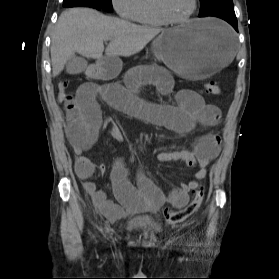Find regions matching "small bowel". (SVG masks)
<instances>
[{
  "instance_id": "c3829d8e",
  "label": "small bowel",
  "mask_w": 279,
  "mask_h": 279,
  "mask_svg": "<svg viewBox=\"0 0 279 279\" xmlns=\"http://www.w3.org/2000/svg\"><path fill=\"white\" fill-rule=\"evenodd\" d=\"M146 83L154 84L162 95L173 94L177 105L153 104L139 98L136 91ZM100 102L132 117L181 134L189 133L198 124L217 126L221 117L219 109L206 103L194 90L174 91L171 76L158 67L131 68L126 72L122 84H83L64 101L65 134L78 155L75 173L100 212L109 219L117 220L125 211H157L166 201L175 208L184 207L188 202L189 192L199 186V180L207 176L209 163L218 156L220 137L217 134H205L194 142L190 150H166L158 154L160 161H181L196 168L195 178L172 189L167 197L142 172L138 174L136 184L130 182L123 162L117 160L111 172L118 201L115 203L92 180L95 173L102 174L105 168L83 155L97 144L103 127ZM109 133L115 139L120 138L119 129L115 125H111Z\"/></svg>"
}]
</instances>
